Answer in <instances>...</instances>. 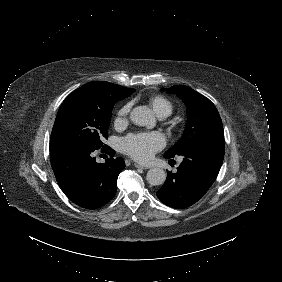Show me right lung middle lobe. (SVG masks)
<instances>
[{"label":"right lung middle lobe","mask_w":282,"mask_h":282,"mask_svg":"<svg viewBox=\"0 0 282 282\" xmlns=\"http://www.w3.org/2000/svg\"><path fill=\"white\" fill-rule=\"evenodd\" d=\"M128 89L102 81L89 82L73 91L61 104L50 138V154L73 148H104L111 110L130 96Z\"/></svg>","instance_id":"dd1d6c3e"}]
</instances>
